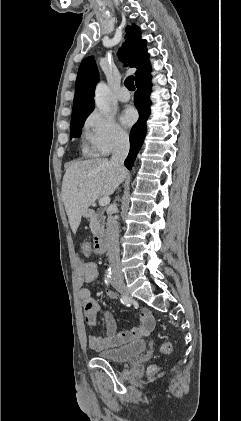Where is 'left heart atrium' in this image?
<instances>
[{
	"label": "left heart atrium",
	"instance_id": "obj_1",
	"mask_svg": "<svg viewBox=\"0 0 241 421\" xmlns=\"http://www.w3.org/2000/svg\"><path fill=\"white\" fill-rule=\"evenodd\" d=\"M121 122L126 126H131L137 119V113L132 107H126L120 116Z\"/></svg>",
	"mask_w": 241,
	"mask_h": 421
}]
</instances>
